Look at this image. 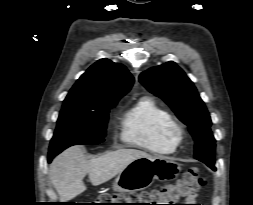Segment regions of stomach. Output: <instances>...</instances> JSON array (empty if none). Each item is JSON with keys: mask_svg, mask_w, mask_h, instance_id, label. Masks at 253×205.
Segmentation results:
<instances>
[{"mask_svg": "<svg viewBox=\"0 0 253 205\" xmlns=\"http://www.w3.org/2000/svg\"><path fill=\"white\" fill-rule=\"evenodd\" d=\"M181 171L180 164L165 157H141L132 161L122 170L113 183L119 192H134L149 187L155 179H175Z\"/></svg>", "mask_w": 253, "mask_h": 205, "instance_id": "obj_1", "label": "stomach"}]
</instances>
